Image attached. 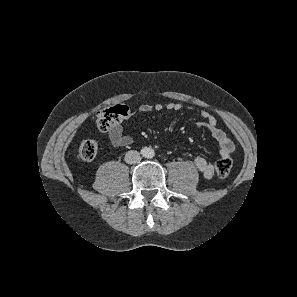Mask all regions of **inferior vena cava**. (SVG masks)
<instances>
[{
    "mask_svg": "<svg viewBox=\"0 0 297 297\" xmlns=\"http://www.w3.org/2000/svg\"><path fill=\"white\" fill-rule=\"evenodd\" d=\"M140 160V153L136 150H130L125 155V162L135 164Z\"/></svg>",
    "mask_w": 297,
    "mask_h": 297,
    "instance_id": "1",
    "label": "inferior vena cava"
}]
</instances>
